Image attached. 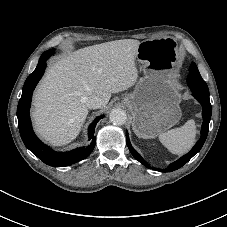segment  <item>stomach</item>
Instances as JSON below:
<instances>
[{"mask_svg": "<svg viewBox=\"0 0 227 227\" xmlns=\"http://www.w3.org/2000/svg\"><path fill=\"white\" fill-rule=\"evenodd\" d=\"M136 59L143 65L144 76L123 103L132 114L134 132L143 138H155L181 118V96L173 80L179 53L175 46L159 39L145 40L137 49Z\"/></svg>", "mask_w": 227, "mask_h": 227, "instance_id": "obj_1", "label": "stomach"}]
</instances>
